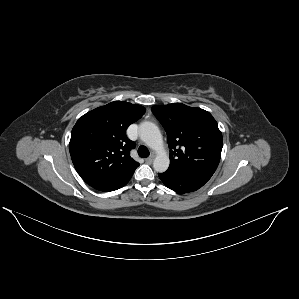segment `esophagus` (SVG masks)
I'll return each instance as SVG.
<instances>
[{
	"label": "esophagus",
	"instance_id": "obj_1",
	"mask_svg": "<svg viewBox=\"0 0 299 299\" xmlns=\"http://www.w3.org/2000/svg\"><path fill=\"white\" fill-rule=\"evenodd\" d=\"M145 162H146L147 164H151V163L153 162V157L151 156V157L146 158V159H145Z\"/></svg>",
	"mask_w": 299,
	"mask_h": 299
}]
</instances>
